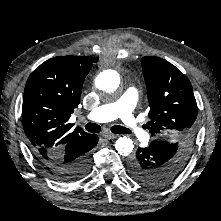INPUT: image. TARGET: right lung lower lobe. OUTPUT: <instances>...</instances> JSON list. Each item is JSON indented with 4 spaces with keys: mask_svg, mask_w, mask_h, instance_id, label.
I'll list each match as a JSON object with an SVG mask.
<instances>
[{
    "mask_svg": "<svg viewBox=\"0 0 221 221\" xmlns=\"http://www.w3.org/2000/svg\"><path fill=\"white\" fill-rule=\"evenodd\" d=\"M98 142L97 135H91L84 147L68 145L63 151H54L45 156L35 155L41 167L53 178L70 182L83 177L91 165L90 150Z\"/></svg>",
    "mask_w": 221,
    "mask_h": 221,
    "instance_id": "obj_1",
    "label": "right lung lower lobe"
}]
</instances>
